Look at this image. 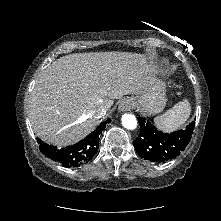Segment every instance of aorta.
<instances>
[{"instance_id":"obj_1","label":"aorta","mask_w":221,"mask_h":221,"mask_svg":"<svg viewBox=\"0 0 221 221\" xmlns=\"http://www.w3.org/2000/svg\"><path fill=\"white\" fill-rule=\"evenodd\" d=\"M122 125L126 129L134 130L137 126L136 117L132 114H124L122 116Z\"/></svg>"}]
</instances>
